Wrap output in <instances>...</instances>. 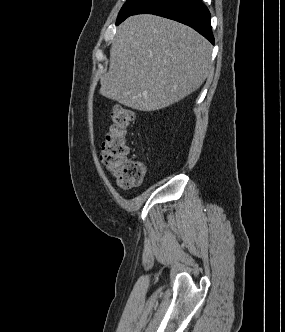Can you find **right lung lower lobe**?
<instances>
[{
	"instance_id": "obj_1",
	"label": "right lung lower lobe",
	"mask_w": 285,
	"mask_h": 332,
	"mask_svg": "<svg viewBox=\"0 0 285 332\" xmlns=\"http://www.w3.org/2000/svg\"><path fill=\"white\" fill-rule=\"evenodd\" d=\"M143 13L159 15L186 24L214 44L211 15L200 0H148L131 15Z\"/></svg>"
}]
</instances>
